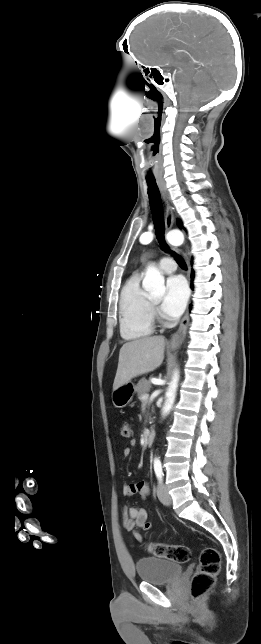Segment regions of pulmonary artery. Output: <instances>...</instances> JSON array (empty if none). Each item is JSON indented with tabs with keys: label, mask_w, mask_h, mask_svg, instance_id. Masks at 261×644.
<instances>
[{
	"label": "pulmonary artery",
	"mask_w": 261,
	"mask_h": 644,
	"mask_svg": "<svg viewBox=\"0 0 261 644\" xmlns=\"http://www.w3.org/2000/svg\"><path fill=\"white\" fill-rule=\"evenodd\" d=\"M159 267H160V269H161V270H163L164 272H171V271L175 270V268H176V264H175V262H174L172 259H170V258H162V259L159 261Z\"/></svg>",
	"instance_id": "1"
}]
</instances>
